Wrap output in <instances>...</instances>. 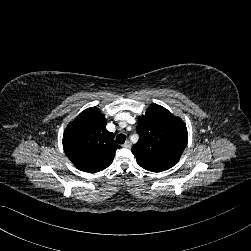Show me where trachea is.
Segmentation results:
<instances>
[{
    "label": "trachea",
    "mask_w": 251,
    "mask_h": 251,
    "mask_svg": "<svg viewBox=\"0 0 251 251\" xmlns=\"http://www.w3.org/2000/svg\"><path fill=\"white\" fill-rule=\"evenodd\" d=\"M125 140H126V136L124 135V134H118L117 136H116V142L118 143V144H123L124 142H125Z\"/></svg>",
    "instance_id": "3493384b"
}]
</instances>
